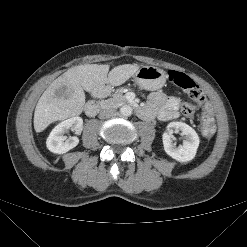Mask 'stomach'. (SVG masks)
I'll return each instance as SVG.
<instances>
[{"instance_id": "stomach-1", "label": "stomach", "mask_w": 247, "mask_h": 247, "mask_svg": "<svg viewBox=\"0 0 247 247\" xmlns=\"http://www.w3.org/2000/svg\"><path fill=\"white\" fill-rule=\"evenodd\" d=\"M134 81L142 88L155 90L166 82V73L155 66H143L133 75Z\"/></svg>"}]
</instances>
